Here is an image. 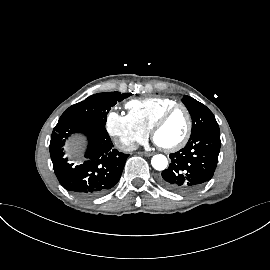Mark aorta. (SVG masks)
I'll use <instances>...</instances> for the list:
<instances>
[{"instance_id": "1", "label": "aorta", "mask_w": 270, "mask_h": 270, "mask_svg": "<svg viewBox=\"0 0 270 270\" xmlns=\"http://www.w3.org/2000/svg\"><path fill=\"white\" fill-rule=\"evenodd\" d=\"M151 165L154 169L162 171L167 167L168 160L166 156L162 154L154 155L151 159Z\"/></svg>"}]
</instances>
